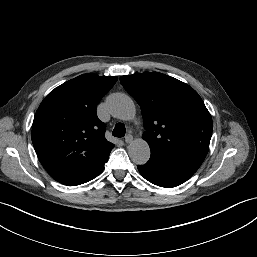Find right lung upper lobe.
<instances>
[{"label":"right lung upper lobe","mask_w":257,"mask_h":257,"mask_svg":"<svg viewBox=\"0 0 257 257\" xmlns=\"http://www.w3.org/2000/svg\"><path fill=\"white\" fill-rule=\"evenodd\" d=\"M116 81V76L83 74L52 90L40 104L32 143L56 181L81 180L108 159L114 144L106 140L96 108Z\"/></svg>","instance_id":"cb5924a9"}]
</instances>
